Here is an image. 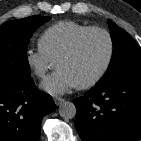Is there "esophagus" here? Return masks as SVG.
<instances>
[{"label": "esophagus", "instance_id": "34e87169", "mask_svg": "<svg viewBox=\"0 0 141 141\" xmlns=\"http://www.w3.org/2000/svg\"><path fill=\"white\" fill-rule=\"evenodd\" d=\"M65 100L63 98L55 97L54 102L57 106H60Z\"/></svg>", "mask_w": 141, "mask_h": 141}]
</instances>
